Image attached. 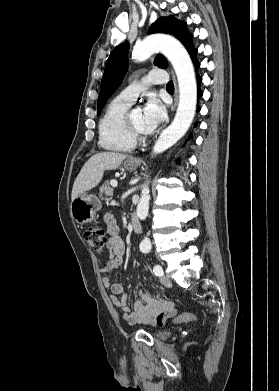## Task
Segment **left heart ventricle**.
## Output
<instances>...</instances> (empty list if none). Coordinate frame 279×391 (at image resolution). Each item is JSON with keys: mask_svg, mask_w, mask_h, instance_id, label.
<instances>
[{"mask_svg": "<svg viewBox=\"0 0 279 391\" xmlns=\"http://www.w3.org/2000/svg\"><path fill=\"white\" fill-rule=\"evenodd\" d=\"M131 119L135 125V127L144 134H147L145 128H144V123H143V114L141 110H133L131 112Z\"/></svg>", "mask_w": 279, "mask_h": 391, "instance_id": "left-heart-ventricle-1", "label": "left heart ventricle"}]
</instances>
